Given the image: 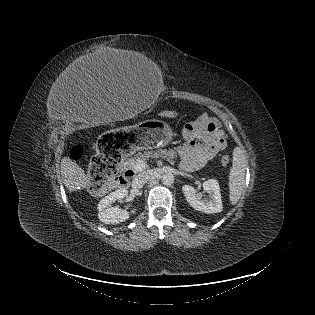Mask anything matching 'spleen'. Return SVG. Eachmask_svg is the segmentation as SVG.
Returning a JSON list of instances; mask_svg holds the SVG:
<instances>
[{
	"mask_svg": "<svg viewBox=\"0 0 315 315\" xmlns=\"http://www.w3.org/2000/svg\"><path fill=\"white\" fill-rule=\"evenodd\" d=\"M247 161L240 148L233 151V162L229 173V198L231 204L235 205L243 192L245 184V171Z\"/></svg>",
	"mask_w": 315,
	"mask_h": 315,
	"instance_id": "obj_1",
	"label": "spleen"
}]
</instances>
